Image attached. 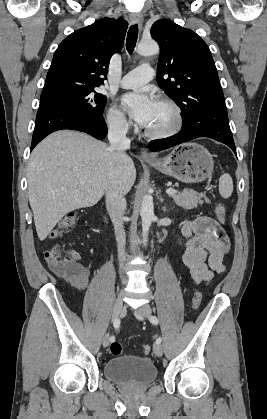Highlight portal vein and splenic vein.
<instances>
[{"instance_id": "obj_1", "label": "portal vein and splenic vein", "mask_w": 267, "mask_h": 419, "mask_svg": "<svg viewBox=\"0 0 267 419\" xmlns=\"http://www.w3.org/2000/svg\"><path fill=\"white\" fill-rule=\"evenodd\" d=\"M166 193L168 195H174V194L177 193V191L175 189L169 188V189L166 190Z\"/></svg>"}]
</instances>
